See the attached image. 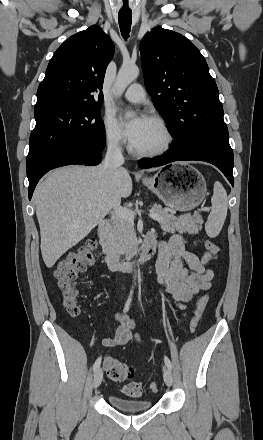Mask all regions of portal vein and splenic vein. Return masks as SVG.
<instances>
[{"label":"portal vein and splenic vein","instance_id":"obj_1","mask_svg":"<svg viewBox=\"0 0 263 440\" xmlns=\"http://www.w3.org/2000/svg\"><path fill=\"white\" fill-rule=\"evenodd\" d=\"M114 213L120 218L127 219V220L131 221L132 223L134 222L135 212L131 211L128 208H124V207H120V206L115 207ZM149 216L153 220H156V221L163 220V217L156 214L154 211H150Z\"/></svg>","mask_w":263,"mask_h":440}]
</instances>
